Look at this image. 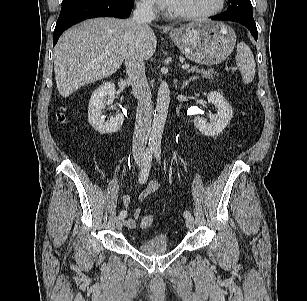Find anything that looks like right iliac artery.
I'll return each mask as SVG.
<instances>
[{
	"label": "right iliac artery",
	"mask_w": 307,
	"mask_h": 301,
	"mask_svg": "<svg viewBox=\"0 0 307 301\" xmlns=\"http://www.w3.org/2000/svg\"><path fill=\"white\" fill-rule=\"evenodd\" d=\"M153 152H154V147H151V146H148L144 152L142 168H141V171L138 177L139 183L141 184L145 183L148 179L151 164H152ZM120 216L125 218L127 216V211L122 210L120 212Z\"/></svg>",
	"instance_id": "1"
}]
</instances>
